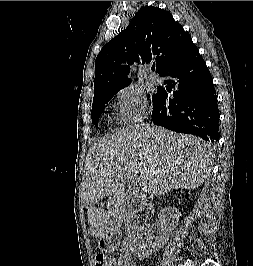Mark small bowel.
<instances>
[{"mask_svg": "<svg viewBox=\"0 0 253 266\" xmlns=\"http://www.w3.org/2000/svg\"><path fill=\"white\" fill-rule=\"evenodd\" d=\"M123 259L124 258H121L118 263L115 261V266H137L134 262L130 263L129 261H124Z\"/></svg>", "mask_w": 253, "mask_h": 266, "instance_id": "1", "label": "small bowel"}]
</instances>
